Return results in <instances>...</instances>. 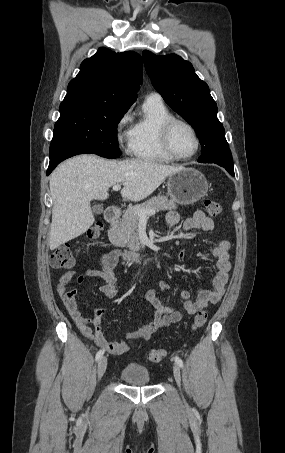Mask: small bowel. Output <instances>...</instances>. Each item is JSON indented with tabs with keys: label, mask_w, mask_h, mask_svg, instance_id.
Here are the masks:
<instances>
[{
	"label": "small bowel",
	"mask_w": 285,
	"mask_h": 453,
	"mask_svg": "<svg viewBox=\"0 0 285 453\" xmlns=\"http://www.w3.org/2000/svg\"><path fill=\"white\" fill-rule=\"evenodd\" d=\"M179 220V215L176 212L171 211L166 215V223L171 228L175 227L179 223ZM182 227L186 231L199 229L203 232L211 233L215 228V222L204 212L197 211L193 216L184 220ZM229 248L230 243L226 240L219 241L212 247L211 253L216 259L213 289H199L195 299H191L188 291H182L181 297L185 301L183 311L165 304L153 289L147 290L145 299L154 310L153 320L148 324L139 326L133 331H127L125 337L131 340H148L152 334L158 330L178 323L186 315H194L208 307L209 304L217 303L224 295L225 286L229 279V272L231 269ZM185 256L186 253L182 250L178 255V259L183 260ZM119 258V250H114L103 255L100 260L101 269L90 270L79 276L76 280V284L81 285L87 279H100L103 281V284L99 286V290L107 298H115L118 295L119 289L117 280L113 274V269L117 265ZM74 275V271H69L60 276L56 290L64 307L75 322L79 331L84 337L92 340L98 347L102 348L101 350H106L113 355H121L127 352L129 350V345L126 341H111L103 333L101 323L107 312L105 308H99L88 316L83 315L79 311L76 302L77 289L68 288ZM157 283L165 294L168 290L166 282L162 279H157Z\"/></svg>",
	"instance_id": "small-bowel-1"
}]
</instances>
